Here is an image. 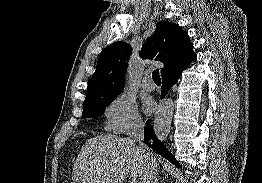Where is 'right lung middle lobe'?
Returning <instances> with one entry per match:
<instances>
[{"instance_id": "right-lung-middle-lobe-1", "label": "right lung middle lobe", "mask_w": 262, "mask_h": 183, "mask_svg": "<svg viewBox=\"0 0 262 183\" xmlns=\"http://www.w3.org/2000/svg\"><path fill=\"white\" fill-rule=\"evenodd\" d=\"M118 95L83 103V117H100Z\"/></svg>"}]
</instances>
